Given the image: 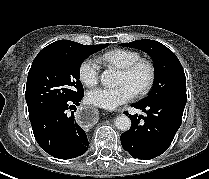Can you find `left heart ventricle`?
<instances>
[{
    "label": "left heart ventricle",
    "mask_w": 209,
    "mask_h": 179,
    "mask_svg": "<svg viewBox=\"0 0 209 179\" xmlns=\"http://www.w3.org/2000/svg\"><path fill=\"white\" fill-rule=\"evenodd\" d=\"M147 80V71L145 68L139 69L134 75L127 76L122 72L119 75V84L127 83L137 91Z\"/></svg>",
    "instance_id": "left-heart-ventricle-1"
}]
</instances>
